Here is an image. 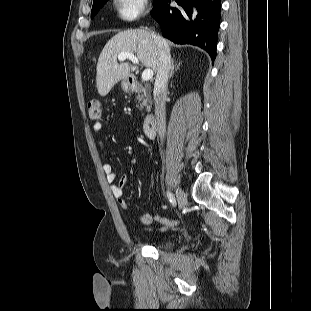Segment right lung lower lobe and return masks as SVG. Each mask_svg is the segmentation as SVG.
I'll return each instance as SVG.
<instances>
[{"mask_svg": "<svg viewBox=\"0 0 311 311\" xmlns=\"http://www.w3.org/2000/svg\"><path fill=\"white\" fill-rule=\"evenodd\" d=\"M157 2L151 15L161 26L162 35L178 44H192L216 58L221 0H175L179 7Z\"/></svg>", "mask_w": 311, "mask_h": 311, "instance_id": "1", "label": "right lung lower lobe"}]
</instances>
